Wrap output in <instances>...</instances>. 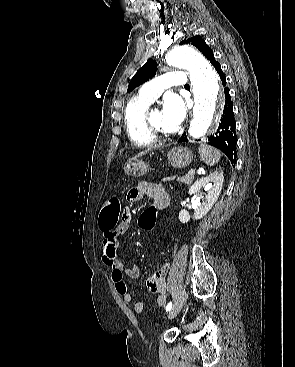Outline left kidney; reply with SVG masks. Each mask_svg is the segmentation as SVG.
Listing matches in <instances>:
<instances>
[{"mask_svg": "<svg viewBox=\"0 0 295 367\" xmlns=\"http://www.w3.org/2000/svg\"><path fill=\"white\" fill-rule=\"evenodd\" d=\"M224 182L223 172L215 171L209 176L197 180L189 189V195H198L201 198V202L198 204L197 209L194 213V219L199 220L204 217L213 207L214 203L218 200V197L222 190ZM204 188L207 193H200L201 189ZM179 221L181 223H187L190 221V215L182 209L179 212Z\"/></svg>", "mask_w": 295, "mask_h": 367, "instance_id": "5707ae66", "label": "left kidney"}]
</instances>
